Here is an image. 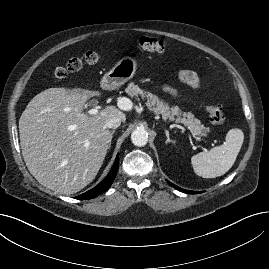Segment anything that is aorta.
I'll list each match as a JSON object with an SVG mask.
<instances>
[{
    "label": "aorta",
    "mask_w": 269,
    "mask_h": 269,
    "mask_svg": "<svg viewBox=\"0 0 269 269\" xmlns=\"http://www.w3.org/2000/svg\"><path fill=\"white\" fill-rule=\"evenodd\" d=\"M131 141L135 146H145L148 142V133L142 129H135L131 134Z\"/></svg>",
    "instance_id": "aorta-1"
}]
</instances>
